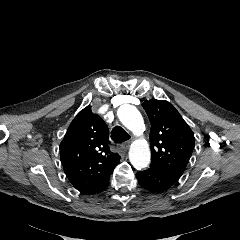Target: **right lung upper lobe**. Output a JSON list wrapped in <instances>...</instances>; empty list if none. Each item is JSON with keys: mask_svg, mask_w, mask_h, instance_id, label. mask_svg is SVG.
<instances>
[{"mask_svg": "<svg viewBox=\"0 0 240 240\" xmlns=\"http://www.w3.org/2000/svg\"><path fill=\"white\" fill-rule=\"evenodd\" d=\"M110 146L107 125L87 106L71 122L60 144L65 174L81 193L96 194L108 183L120 161Z\"/></svg>", "mask_w": 240, "mask_h": 240, "instance_id": "cb5924a9", "label": "right lung upper lobe"}]
</instances>
